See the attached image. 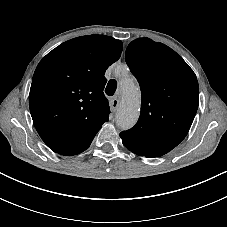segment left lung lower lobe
I'll list each match as a JSON object with an SVG mask.
<instances>
[{
  "label": "left lung lower lobe",
  "instance_id": "left-lung-lower-lobe-1",
  "mask_svg": "<svg viewBox=\"0 0 227 227\" xmlns=\"http://www.w3.org/2000/svg\"><path fill=\"white\" fill-rule=\"evenodd\" d=\"M125 147L127 149H129L130 151H132L133 153L139 155V156H145V157H159L158 154L151 152V151H147V150H143V149H138V148H134L131 146H126Z\"/></svg>",
  "mask_w": 227,
  "mask_h": 227
}]
</instances>
